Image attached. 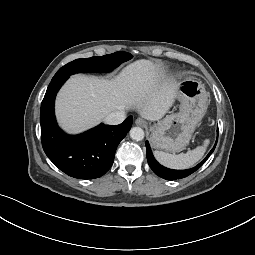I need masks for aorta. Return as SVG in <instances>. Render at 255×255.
<instances>
[{
    "instance_id": "762f6f07",
    "label": "aorta",
    "mask_w": 255,
    "mask_h": 255,
    "mask_svg": "<svg viewBox=\"0 0 255 255\" xmlns=\"http://www.w3.org/2000/svg\"><path fill=\"white\" fill-rule=\"evenodd\" d=\"M130 137L133 139V140H136V141H141L143 140L144 138V131L142 128L140 127H133L131 130H130Z\"/></svg>"
}]
</instances>
